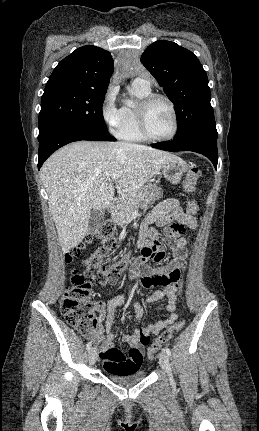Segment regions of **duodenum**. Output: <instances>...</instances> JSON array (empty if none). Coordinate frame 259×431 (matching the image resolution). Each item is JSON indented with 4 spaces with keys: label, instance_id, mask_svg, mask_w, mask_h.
<instances>
[{
    "label": "duodenum",
    "instance_id": "410a0bca",
    "mask_svg": "<svg viewBox=\"0 0 259 431\" xmlns=\"http://www.w3.org/2000/svg\"><path fill=\"white\" fill-rule=\"evenodd\" d=\"M117 206H118V200L114 199L110 203L109 210L114 211V210H116Z\"/></svg>",
    "mask_w": 259,
    "mask_h": 431
}]
</instances>
